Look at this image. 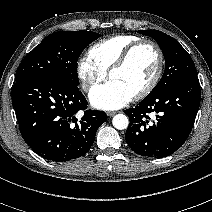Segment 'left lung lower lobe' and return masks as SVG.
Listing matches in <instances>:
<instances>
[{"label":"left lung lower lobe","instance_id":"1","mask_svg":"<svg viewBox=\"0 0 212 212\" xmlns=\"http://www.w3.org/2000/svg\"><path fill=\"white\" fill-rule=\"evenodd\" d=\"M197 75L182 79L158 92H150L135 108L125 139L139 155L162 158L178 150L188 138L200 105ZM155 114L151 121L149 114Z\"/></svg>","mask_w":212,"mask_h":212}]
</instances>
